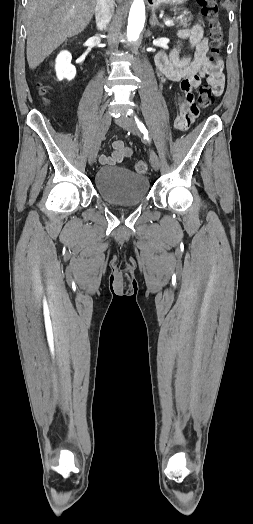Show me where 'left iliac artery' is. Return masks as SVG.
<instances>
[{"mask_svg":"<svg viewBox=\"0 0 253 524\" xmlns=\"http://www.w3.org/2000/svg\"><path fill=\"white\" fill-rule=\"evenodd\" d=\"M135 121L137 123V126L138 128L140 129V131L144 134L145 138L146 139H149L148 137V131L146 129V127L144 126V124L142 122L139 121V119L137 117H135Z\"/></svg>","mask_w":253,"mask_h":524,"instance_id":"obj_1","label":"left iliac artery"}]
</instances>
